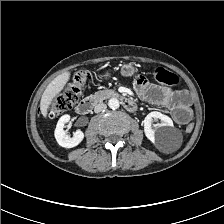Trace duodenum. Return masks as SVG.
Segmentation results:
<instances>
[{"label":"duodenum","mask_w":224,"mask_h":224,"mask_svg":"<svg viewBox=\"0 0 224 224\" xmlns=\"http://www.w3.org/2000/svg\"><path fill=\"white\" fill-rule=\"evenodd\" d=\"M102 98H112L120 99L124 105V108L129 112H134L136 110V104L133 100L123 97L119 92L116 91H105L101 94H94L83 99L76 107V112L79 115L88 114L91 109L102 99Z\"/></svg>","instance_id":"obj_1"}]
</instances>
